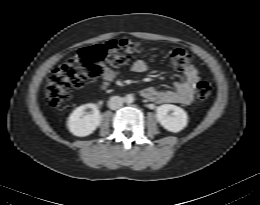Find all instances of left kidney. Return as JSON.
I'll return each instance as SVG.
<instances>
[{"label": "left kidney", "instance_id": "5707ae66", "mask_svg": "<svg viewBox=\"0 0 260 205\" xmlns=\"http://www.w3.org/2000/svg\"><path fill=\"white\" fill-rule=\"evenodd\" d=\"M170 111H172L171 114H169ZM156 118L166 130L173 133L180 132L188 123L187 113L182 108L172 104L158 106Z\"/></svg>", "mask_w": 260, "mask_h": 205}]
</instances>
